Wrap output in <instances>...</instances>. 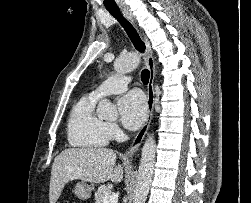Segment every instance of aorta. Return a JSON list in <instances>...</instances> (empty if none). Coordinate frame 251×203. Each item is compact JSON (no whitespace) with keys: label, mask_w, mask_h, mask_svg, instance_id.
Returning a JSON list of instances; mask_svg holds the SVG:
<instances>
[{"label":"aorta","mask_w":251,"mask_h":203,"mask_svg":"<svg viewBox=\"0 0 251 203\" xmlns=\"http://www.w3.org/2000/svg\"><path fill=\"white\" fill-rule=\"evenodd\" d=\"M139 64V56L130 53L119 57L114 62V69L118 73L133 71ZM97 114L101 118L110 119L117 116V109L108 99H102L97 107ZM156 157V143L153 135H148L143 145L139 164L138 176L134 191L133 203H145L149 193V187L153 177Z\"/></svg>","instance_id":"1"}]
</instances>
